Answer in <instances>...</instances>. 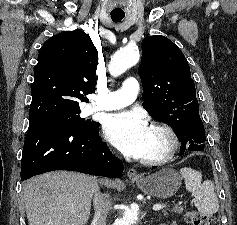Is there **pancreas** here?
<instances>
[{
    "mask_svg": "<svg viewBox=\"0 0 237 225\" xmlns=\"http://www.w3.org/2000/svg\"><path fill=\"white\" fill-rule=\"evenodd\" d=\"M184 211V208L182 206H176L173 208L172 212L178 213V214H182V212ZM164 215H168V213L166 211H163Z\"/></svg>",
    "mask_w": 237,
    "mask_h": 225,
    "instance_id": "pancreas-1",
    "label": "pancreas"
}]
</instances>
